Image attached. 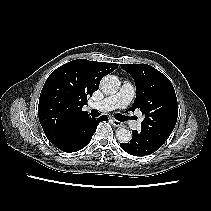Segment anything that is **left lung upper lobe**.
Here are the masks:
<instances>
[{
	"label": "left lung upper lobe",
	"mask_w": 211,
	"mask_h": 211,
	"mask_svg": "<svg viewBox=\"0 0 211 211\" xmlns=\"http://www.w3.org/2000/svg\"><path fill=\"white\" fill-rule=\"evenodd\" d=\"M134 79L136 99L131 111L140 109L145 116L141 123L143 133L161 144L173 131L177 116V98L170 80L147 64H121Z\"/></svg>",
	"instance_id": "obj_1"
}]
</instances>
